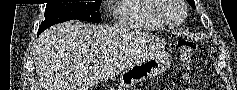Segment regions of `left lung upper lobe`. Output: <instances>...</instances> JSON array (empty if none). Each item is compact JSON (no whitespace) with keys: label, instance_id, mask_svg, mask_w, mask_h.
I'll return each mask as SVG.
<instances>
[{"label":"left lung upper lobe","instance_id":"5c2ea615","mask_svg":"<svg viewBox=\"0 0 237 90\" xmlns=\"http://www.w3.org/2000/svg\"><path fill=\"white\" fill-rule=\"evenodd\" d=\"M187 1L193 8H195L194 0H187Z\"/></svg>","mask_w":237,"mask_h":90}]
</instances>
